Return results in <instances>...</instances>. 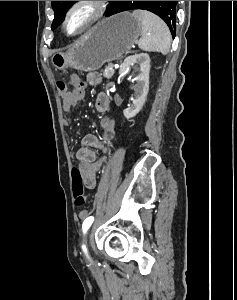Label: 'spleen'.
I'll list each match as a JSON object with an SVG mask.
<instances>
[{
  "label": "spleen",
  "instance_id": "3e777b00",
  "mask_svg": "<svg viewBox=\"0 0 237 300\" xmlns=\"http://www.w3.org/2000/svg\"><path fill=\"white\" fill-rule=\"evenodd\" d=\"M132 15L141 23L142 37L138 41L139 49L158 51L162 55H167L171 45V35L166 23L149 11H133Z\"/></svg>",
  "mask_w": 237,
  "mask_h": 300
}]
</instances>
